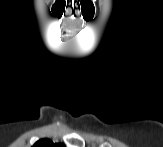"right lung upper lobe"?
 <instances>
[{"label": "right lung upper lobe", "instance_id": "right-lung-upper-lobe-1", "mask_svg": "<svg viewBox=\"0 0 163 147\" xmlns=\"http://www.w3.org/2000/svg\"><path fill=\"white\" fill-rule=\"evenodd\" d=\"M63 144H54L51 140L49 139H41L37 141L33 147H62Z\"/></svg>", "mask_w": 163, "mask_h": 147}]
</instances>
